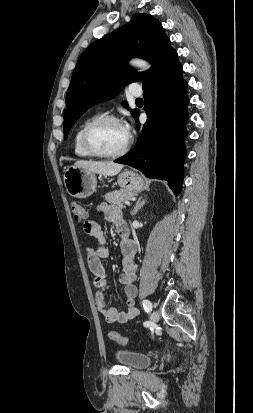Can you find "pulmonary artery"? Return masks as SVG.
<instances>
[{"instance_id": "e3ab8cb5", "label": "pulmonary artery", "mask_w": 253, "mask_h": 413, "mask_svg": "<svg viewBox=\"0 0 253 413\" xmlns=\"http://www.w3.org/2000/svg\"><path fill=\"white\" fill-rule=\"evenodd\" d=\"M129 93L134 97H139L142 94V89L138 85L133 84L129 87Z\"/></svg>"}]
</instances>
